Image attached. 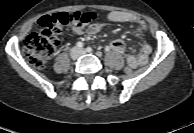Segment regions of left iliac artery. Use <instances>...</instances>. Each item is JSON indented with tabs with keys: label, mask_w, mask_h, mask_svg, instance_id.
Listing matches in <instances>:
<instances>
[{
	"label": "left iliac artery",
	"mask_w": 194,
	"mask_h": 133,
	"mask_svg": "<svg viewBox=\"0 0 194 133\" xmlns=\"http://www.w3.org/2000/svg\"><path fill=\"white\" fill-rule=\"evenodd\" d=\"M88 52H92V48L91 47H87L86 49Z\"/></svg>",
	"instance_id": "44dca946"
}]
</instances>
